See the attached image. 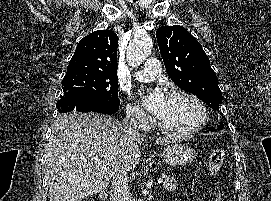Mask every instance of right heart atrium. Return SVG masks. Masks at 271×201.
<instances>
[{
    "mask_svg": "<svg viewBox=\"0 0 271 201\" xmlns=\"http://www.w3.org/2000/svg\"><path fill=\"white\" fill-rule=\"evenodd\" d=\"M127 120L136 127L145 130L151 125V118L138 106L127 104Z\"/></svg>",
    "mask_w": 271,
    "mask_h": 201,
    "instance_id": "d8ad5b80",
    "label": "right heart atrium"
}]
</instances>
